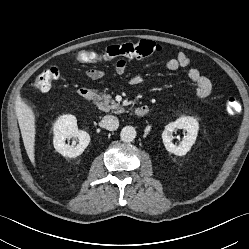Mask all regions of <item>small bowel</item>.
<instances>
[{"label":"small bowel","mask_w":249,"mask_h":249,"mask_svg":"<svg viewBox=\"0 0 249 249\" xmlns=\"http://www.w3.org/2000/svg\"><path fill=\"white\" fill-rule=\"evenodd\" d=\"M190 65V58L183 52H179L175 58L169 59L166 62V68L170 71H176L181 68L188 67ZM115 71L117 74L122 75L126 71V62L119 60L116 63ZM104 75V71L97 68H91L85 71V76L90 80L100 79ZM188 78L196 87V96L200 99H204L209 96L212 90L211 81L196 68H190L188 70ZM141 82V76L135 74L131 78L132 84H138Z\"/></svg>","instance_id":"small-bowel-1"}]
</instances>
